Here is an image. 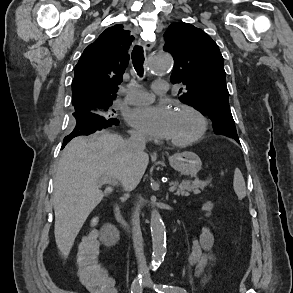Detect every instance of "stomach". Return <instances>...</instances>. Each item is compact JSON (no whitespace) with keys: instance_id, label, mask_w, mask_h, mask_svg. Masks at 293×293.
<instances>
[{"instance_id":"0dacf381","label":"stomach","mask_w":293,"mask_h":293,"mask_svg":"<svg viewBox=\"0 0 293 293\" xmlns=\"http://www.w3.org/2000/svg\"><path fill=\"white\" fill-rule=\"evenodd\" d=\"M170 165L183 176L195 177L201 170L202 162L197 154L186 151L169 157Z\"/></svg>"}]
</instances>
